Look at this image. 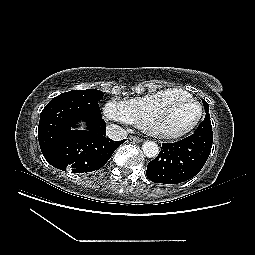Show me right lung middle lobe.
I'll use <instances>...</instances> for the list:
<instances>
[{
    "instance_id": "right-lung-middle-lobe-1",
    "label": "right lung middle lobe",
    "mask_w": 255,
    "mask_h": 255,
    "mask_svg": "<svg viewBox=\"0 0 255 255\" xmlns=\"http://www.w3.org/2000/svg\"><path fill=\"white\" fill-rule=\"evenodd\" d=\"M104 93L96 89L73 90L53 98L42 110L38 126L41 151L48 149L66 130L80 120L101 121L98 102Z\"/></svg>"
}]
</instances>
